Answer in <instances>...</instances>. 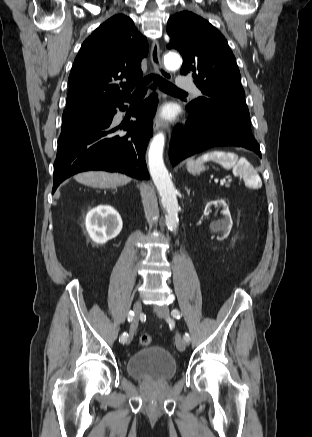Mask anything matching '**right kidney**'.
I'll list each match as a JSON object with an SVG mask.
<instances>
[{"instance_id":"1","label":"right kidney","mask_w":312,"mask_h":437,"mask_svg":"<svg viewBox=\"0 0 312 437\" xmlns=\"http://www.w3.org/2000/svg\"><path fill=\"white\" fill-rule=\"evenodd\" d=\"M86 229L97 244H104L118 236L122 229V219L111 206L99 205L87 213Z\"/></svg>"}]
</instances>
